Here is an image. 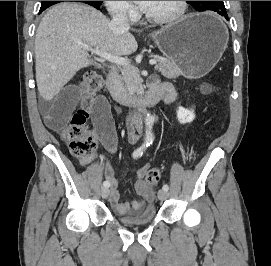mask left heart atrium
I'll list each match as a JSON object with an SVG mask.
<instances>
[{
  "mask_svg": "<svg viewBox=\"0 0 271 266\" xmlns=\"http://www.w3.org/2000/svg\"><path fill=\"white\" fill-rule=\"evenodd\" d=\"M137 3L142 10L147 11L152 1H137Z\"/></svg>",
  "mask_w": 271,
  "mask_h": 266,
  "instance_id": "1",
  "label": "left heart atrium"
}]
</instances>
